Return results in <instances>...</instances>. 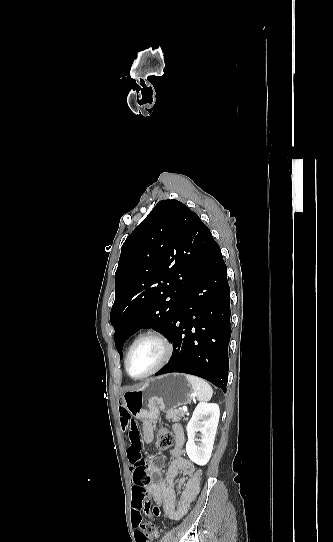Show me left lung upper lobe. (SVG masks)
<instances>
[{"instance_id": "left-lung-upper-lobe-1", "label": "left lung upper lobe", "mask_w": 333, "mask_h": 542, "mask_svg": "<svg viewBox=\"0 0 333 542\" xmlns=\"http://www.w3.org/2000/svg\"><path fill=\"white\" fill-rule=\"evenodd\" d=\"M213 240L198 215L173 199L160 201L126 239L110 314L120 358L124 342L142 327L171 333Z\"/></svg>"}]
</instances>
